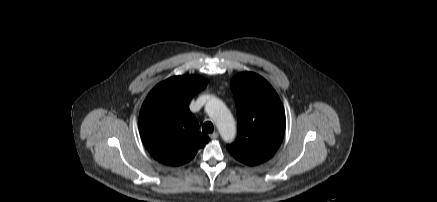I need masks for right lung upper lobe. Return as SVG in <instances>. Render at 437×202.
<instances>
[{"label":"right lung upper lobe","instance_id":"right-lung-upper-lobe-1","mask_svg":"<svg viewBox=\"0 0 437 202\" xmlns=\"http://www.w3.org/2000/svg\"><path fill=\"white\" fill-rule=\"evenodd\" d=\"M206 85L201 76H173L156 85L146 97L139 114V131L145 147L159 162L185 164L209 142L189 110L192 97Z\"/></svg>","mask_w":437,"mask_h":202}]
</instances>
